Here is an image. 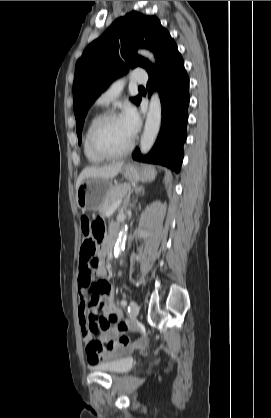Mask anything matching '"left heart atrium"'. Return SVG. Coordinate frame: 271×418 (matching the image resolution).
Masks as SVG:
<instances>
[{"label":"left heart atrium","instance_id":"obj_1","mask_svg":"<svg viewBox=\"0 0 271 418\" xmlns=\"http://www.w3.org/2000/svg\"><path fill=\"white\" fill-rule=\"evenodd\" d=\"M121 120L128 134L133 138L140 125L137 111L133 107H127L121 116Z\"/></svg>","mask_w":271,"mask_h":418}]
</instances>
